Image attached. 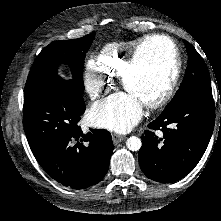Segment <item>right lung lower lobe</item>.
Listing matches in <instances>:
<instances>
[{
  "label": "right lung lower lobe",
  "mask_w": 221,
  "mask_h": 221,
  "mask_svg": "<svg viewBox=\"0 0 221 221\" xmlns=\"http://www.w3.org/2000/svg\"><path fill=\"white\" fill-rule=\"evenodd\" d=\"M84 111L83 91L61 78L24 98L23 126L33 155L51 178L73 189L99 183L113 152L107 130L82 132Z\"/></svg>",
  "instance_id": "obj_1"
}]
</instances>
